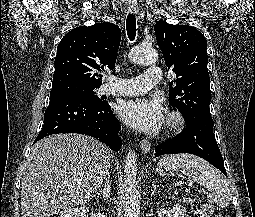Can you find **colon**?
Listing matches in <instances>:
<instances>
[{"instance_id": "1", "label": "colon", "mask_w": 255, "mask_h": 217, "mask_svg": "<svg viewBox=\"0 0 255 217\" xmlns=\"http://www.w3.org/2000/svg\"><path fill=\"white\" fill-rule=\"evenodd\" d=\"M191 209L197 217H221L215 213L211 206L201 198H193L190 201Z\"/></svg>"}]
</instances>
